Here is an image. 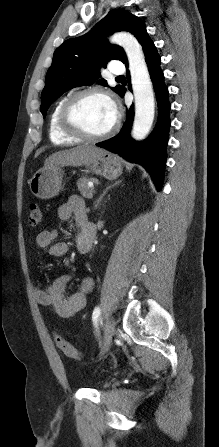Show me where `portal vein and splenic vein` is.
I'll list each match as a JSON object with an SVG mask.
<instances>
[{
	"mask_svg": "<svg viewBox=\"0 0 219 447\" xmlns=\"http://www.w3.org/2000/svg\"><path fill=\"white\" fill-rule=\"evenodd\" d=\"M88 186H89L90 188H92V189H93V187H94L92 182H89V183H88ZM93 192H94V191H93Z\"/></svg>",
	"mask_w": 219,
	"mask_h": 447,
	"instance_id": "1",
	"label": "portal vein and splenic vein"
}]
</instances>
